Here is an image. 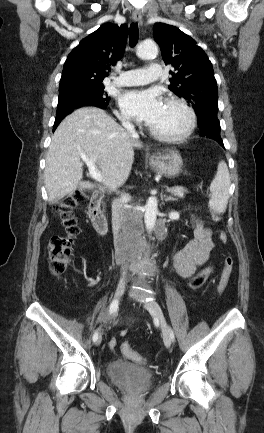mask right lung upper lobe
Masks as SVG:
<instances>
[{
	"label": "right lung upper lobe",
	"instance_id": "cb5924a9",
	"mask_svg": "<svg viewBox=\"0 0 264 433\" xmlns=\"http://www.w3.org/2000/svg\"><path fill=\"white\" fill-rule=\"evenodd\" d=\"M126 32V24L105 23L83 39L64 63L60 94L76 87L101 85L110 66L124 54Z\"/></svg>",
	"mask_w": 264,
	"mask_h": 433
}]
</instances>
